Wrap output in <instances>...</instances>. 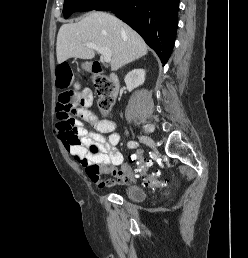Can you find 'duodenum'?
Returning a JSON list of instances; mask_svg holds the SVG:
<instances>
[{
	"instance_id": "1",
	"label": "duodenum",
	"mask_w": 248,
	"mask_h": 258,
	"mask_svg": "<svg viewBox=\"0 0 248 258\" xmlns=\"http://www.w3.org/2000/svg\"><path fill=\"white\" fill-rule=\"evenodd\" d=\"M102 72L101 69V64L98 61H95L93 63V73L95 75H99ZM109 79L113 85V92H112V97L113 99H116L118 93H119V79L115 73H110L109 74Z\"/></svg>"
}]
</instances>
